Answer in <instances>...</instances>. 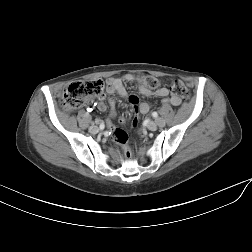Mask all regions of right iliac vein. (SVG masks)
I'll return each instance as SVG.
<instances>
[{
    "label": "right iliac vein",
    "instance_id": "right-iliac-vein-1",
    "mask_svg": "<svg viewBox=\"0 0 252 252\" xmlns=\"http://www.w3.org/2000/svg\"><path fill=\"white\" fill-rule=\"evenodd\" d=\"M98 131H99V128H98V126H90L89 127V132L90 133H92V134H96V133H98Z\"/></svg>",
    "mask_w": 252,
    "mask_h": 252
}]
</instances>
